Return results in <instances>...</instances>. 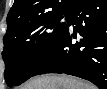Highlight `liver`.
<instances>
[{"label":"liver","instance_id":"1","mask_svg":"<svg viewBox=\"0 0 107 89\" xmlns=\"http://www.w3.org/2000/svg\"><path fill=\"white\" fill-rule=\"evenodd\" d=\"M19 89H96L85 81L68 75H41L25 83Z\"/></svg>","mask_w":107,"mask_h":89}]
</instances>
